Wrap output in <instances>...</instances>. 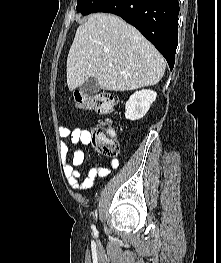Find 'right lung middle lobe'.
Instances as JSON below:
<instances>
[{
	"label": "right lung middle lobe",
	"mask_w": 221,
	"mask_h": 263,
	"mask_svg": "<svg viewBox=\"0 0 221 263\" xmlns=\"http://www.w3.org/2000/svg\"><path fill=\"white\" fill-rule=\"evenodd\" d=\"M105 0H78L77 1V12L82 15H88L93 13L94 10Z\"/></svg>",
	"instance_id": "1"
}]
</instances>
